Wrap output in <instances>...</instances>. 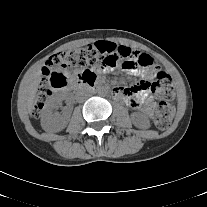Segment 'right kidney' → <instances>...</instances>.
I'll list each match as a JSON object with an SVG mask.
<instances>
[{
  "instance_id": "ca27d5eb",
  "label": "right kidney",
  "mask_w": 207,
  "mask_h": 207,
  "mask_svg": "<svg viewBox=\"0 0 207 207\" xmlns=\"http://www.w3.org/2000/svg\"><path fill=\"white\" fill-rule=\"evenodd\" d=\"M64 98L63 94H56L47 101L41 114V126L45 131H60L66 127L68 117L55 112Z\"/></svg>"
}]
</instances>
